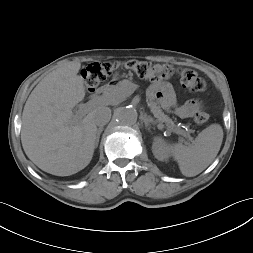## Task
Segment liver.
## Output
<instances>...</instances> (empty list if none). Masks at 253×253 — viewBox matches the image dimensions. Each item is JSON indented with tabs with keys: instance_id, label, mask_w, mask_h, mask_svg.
I'll use <instances>...</instances> for the list:
<instances>
[{
	"instance_id": "obj_1",
	"label": "liver",
	"mask_w": 253,
	"mask_h": 253,
	"mask_svg": "<svg viewBox=\"0 0 253 253\" xmlns=\"http://www.w3.org/2000/svg\"><path fill=\"white\" fill-rule=\"evenodd\" d=\"M80 62H68L45 76L29 95L22 113L21 142L41 170L69 176L84 169L95 149L97 126L91 110L77 122L72 109L84 99Z\"/></svg>"
}]
</instances>
